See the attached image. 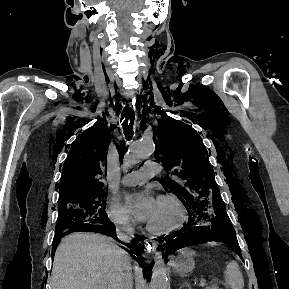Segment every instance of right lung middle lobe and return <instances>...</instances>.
I'll list each match as a JSON object with an SVG mask.
<instances>
[{
    "mask_svg": "<svg viewBox=\"0 0 289 289\" xmlns=\"http://www.w3.org/2000/svg\"><path fill=\"white\" fill-rule=\"evenodd\" d=\"M106 198V188L76 192L60 197L54 237L69 234L71 229L87 220H99L107 217Z\"/></svg>",
    "mask_w": 289,
    "mask_h": 289,
    "instance_id": "dd1d6c3e",
    "label": "right lung middle lobe"
}]
</instances>
